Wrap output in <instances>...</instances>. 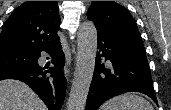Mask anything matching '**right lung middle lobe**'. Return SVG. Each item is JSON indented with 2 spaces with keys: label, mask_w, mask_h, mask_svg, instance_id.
<instances>
[{
  "label": "right lung middle lobe",
  "mask_w": 171,
  "mask_h": 110,
  "mask_svg": "<svg viewBox=\"0 0 171 110\" xmlns=\"http://www.w3.org/2000/svg\"><path fill=\"white\" fill-rule=\"evenodd\" d=\"M36 60V52L20 49H3L0 50V71L30 66Z\"/></svg>",
  "instance_id": "right-lung-middle-lobe-1"
}]
</instances>
